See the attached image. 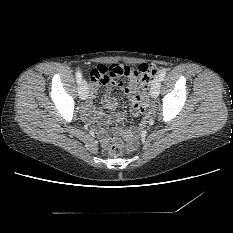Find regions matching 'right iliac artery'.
<instances>
[{
	"label": "right iliac artery",
	"mask_w": 233,
	"mask_h": 233,
	"mask_svg": "<svg viewBox=\"0 0 233 233\" xmlns=\"http://www.w3.org/2000/svg\"><path fill=\"white\" fill-rule=\"evenodd\" d=\"M76 79H77V83H81L82 80V74L80 71L76 72Z\"/></svg>",
	"instance_id": "right-iliac-artery-1"
}]
</instances>
